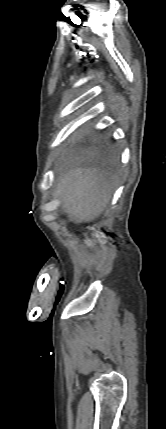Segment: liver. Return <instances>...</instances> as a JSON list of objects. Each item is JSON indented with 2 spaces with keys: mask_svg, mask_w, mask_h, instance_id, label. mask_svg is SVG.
<instances>
[{
  "mask_svg": "<svg viewBox=\"0 0 166 429\" xmlns=\"http://www.w3.org/2000/svg\"><path fill=\"white\" fill-rule=\"evenodd\" d=\"M114 185V179L104 171L76 168L61 176L57 196L70 220L82 223L94 220L103 212Z\"/></svg>",
  "mask_w": 166,
  "mask_h": 429,
  "instance_id": "obj_1",
  "label": "liver"
}]
</instances>
